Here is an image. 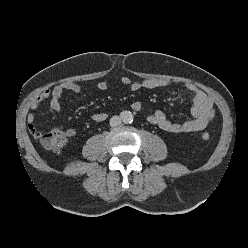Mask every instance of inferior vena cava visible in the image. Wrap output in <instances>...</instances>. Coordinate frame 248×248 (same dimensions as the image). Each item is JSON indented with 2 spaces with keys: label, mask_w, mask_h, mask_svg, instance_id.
Instances as JSON below:
<instances>
[{
  "label": "inferior vena cava",
  "mask_w": 248,
  "mask_h": 248,
  "mask_svg": "<svg viewBox=\"0 0 248 248\" xmlns=\"http://www.w3.org/2000/svg\"><path fill=\"white\" fill-rule=\"evenodd\" d=\"M121 123H122V121H121V118L119 116H113L110 119V126L111 127H118L121 125Z\"/></svg>",
  "instance_id": "inferior-vena-cava-1"
}]
</instances>
